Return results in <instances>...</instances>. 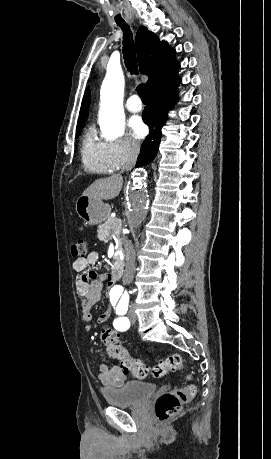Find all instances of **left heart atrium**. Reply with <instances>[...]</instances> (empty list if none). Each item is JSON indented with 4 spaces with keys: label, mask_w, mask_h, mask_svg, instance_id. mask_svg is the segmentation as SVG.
<instances>
[{
    "label": "left heart atrium",
    "mask_w": 271,
    "mask_h": 459,
    "mask_svg": "<svg viewBox=\"0 0 271 459\" xmlns=\"http://www.w3.org/2000/svg\"><path fill=\"white\" fill-rule=\"evenodd\" d=\"M130 129L136 139H141L146 133V127L140 118L135 117L130 121Z\"/></svg>",
    "instance_id": "left-heart-atrium-1"
}]
</instances>
